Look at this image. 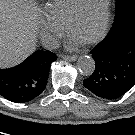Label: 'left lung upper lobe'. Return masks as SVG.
<instances>
[{
  "mask_svg": "<svg viewBox=\"0 0 135 135\" xmlns=\"http://www.w3.org/2000/svg\"><path fill=\"white\" fill-rule=\"evenodd\" d=\"M133 15H135V0H116L114 24H122Z\"/></svg>",
  "mask_w": 135,
  "mask_h": 135,
  "instance_id": "left-lung-upper-lobe-1",
  "label": "left lung upper lobe"
}]
</instances>
